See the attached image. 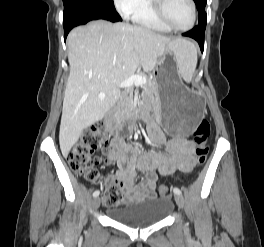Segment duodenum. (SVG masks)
I'll return each instance as SVG.
<instances>
[{
  "instance_id": "obj_1",
  "label": "duodenum",
  "mask_w": 264,
  "mask_h": 247,
  "mask_svg": "<svg viewBox=\"0 0 264 247\" xmlns=\"http://www.w3.org/2000/svg\"><path fill=\"white\" fill-rule=\"evenodd\" d=\"M147 116L142 115L140 112L133 113L125 121L120 122L115 117V110L109 109L104 115V123L110 134L119 136L127 129L134 127L139 121L146 120Z\"/></svg>"
}]
</instances>
